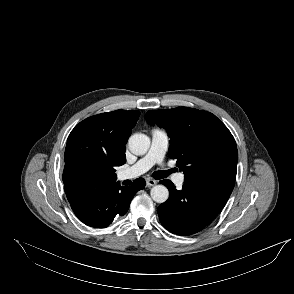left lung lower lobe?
<instances>
[{
  "label": "left lung lower lobe",
  "mask_w": 294,
  "mask_h": 294,
  "mask_svg": "<svg viewBox=\"0 0 294 294\" xmlns=\"http://www.w3.org/2000/svg\"><path fill=\"white\" fill-rule=\"evenodd\" d=\"M169 199L158 207L162 225L178 235H191L204 229L223 209L234 183L206 178L185 182L181 191L168 180Z\"/></svg>",
  "instance_id": "0a47b994"
}]
</instances>
